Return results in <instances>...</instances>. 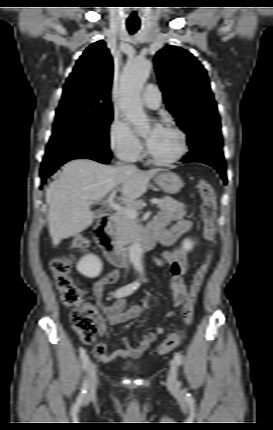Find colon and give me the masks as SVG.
Instances as JSON below:
<instances>
[{
    "label": "colon",
    "mask_w": 273,
    "mask_h": 430,
    "mask_svg": "<svg viewBox=\"0 0 273 430\" xmlns=\"http://www.w3.org/2000/svg\"><path fill=\"white\" fill-rule=\"evenodd\" d=\"M199 192L202 198L201 218L204 225V236L210 242L211 248L206 258L193 276L186 303L183 307V318L186 326L191 325L194 318V308L197 297L213 258V246L216 235L217 198L214 188L206 181H201ZM71 247L83 250L87 241L76 236L71 241ZM71 258L57 256L51 259L50 269L53 273L56 289L59 291L64 305L72 308L71 322L73 329L81 340L90 344L95 340L98 325L94 308L85 302L83 290L74 282L70 275ZM182 332L170 333L156 349L159 355L166 354L175 349L181 342Z\"/></svg>",
    "instance_id": "obj_1"
}]
</instances>
